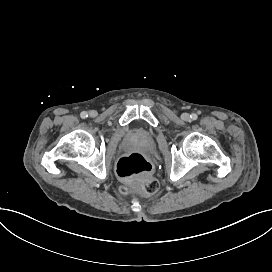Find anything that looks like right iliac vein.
Here are the masks:
<instances>
[{
	"label": "right iliac vein",
	"instance_id": "1",
	"mask_svg": "<svg viewBox=\"0 0 272 272\" xmlns=\"http://www.w3.org/2000/svg\"><path fill=\"white\" fill-rule=\"evenodd\" d=\"M89 115L90 116H95V111L94 110L90 111Z\"/></svg>",
	"mask_w": 272,
	"mask_h": 272
}]
</instances>
